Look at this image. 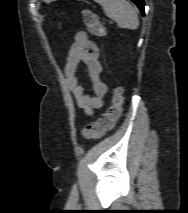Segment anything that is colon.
<instances>
[{
  "label": "colon",
  "instance_id": "5ec220e1",
  "mask_svg": "<svg viewBox=\"0 0 188 213\" xmlns=\"http://www.w3.org/2000/svg\"><path fill=\"white\" fill-rule=\"evenodd\" d=\"M82 19L89 32L95 36H103L105 28L96 13L89 9L82 10ZM124 96L121 87H115L112 92L111 104L105 113L98 119L86 125L82 130L83 137L87 139L100 138L110 131L123 112Z\"/></svg>",
  "mask_w": 188,
  "mask_h": 213
}]
</instances>
